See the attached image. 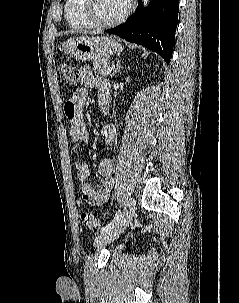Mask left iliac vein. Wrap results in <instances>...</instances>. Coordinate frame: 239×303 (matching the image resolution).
Masks as SVG:
<instances>
[{
  "mask_svg": "<svg viewBox=\"0 0 239 303\" xmlns=\"http://www.w3.org/2000/svg\"><path fill=\"white\" fill-rule=\"evenodd\" d=\"M136 210V201L131 197L126 204L121 218L114 223L108 230L101 232L94 241L96 247H103L113 242L126 229Z\"/></svg>",
  "mask_w": 239,
  "mask_h": 303,
  "instance_id": "obj_1",
  "label": "left iliac vein"
}]
</instances>
